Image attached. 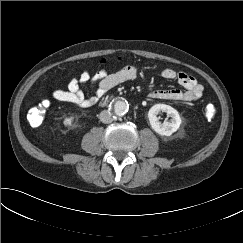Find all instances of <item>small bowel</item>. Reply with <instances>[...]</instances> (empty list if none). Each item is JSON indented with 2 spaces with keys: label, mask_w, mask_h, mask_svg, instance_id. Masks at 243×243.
I'll return each instance as SVG.
<instances>
[{
  "label": "small bowel",
  "mask_w": 243,
  "mask_h": 243,
  "mask_svg": "<svg viewBox=\"0 0 243 243\" xmlns=\"http://www.w3.org/2000/svg\"><path fill=\"white\" fill-rule=\"evenodd\" d=\"M138 74L139 68L132 65L125 66L113 73H107L106 71L101 70L92 77L88 72L84 71L69 81L66 90H55L53 92V97L58 101L69 103L80 108H89L94 106L109 90L121 83L135 79ZM160 75L167 80H177L184 90L155 89L149 92V98L193 102L202 96L203 87L193 76L172 68L163 69L160 72ZM87 83L98 84L94 96L86 97L81 90V86Z\"/></svg>",
  "instance_id": "c3829d8e"
}]
</instances>
